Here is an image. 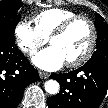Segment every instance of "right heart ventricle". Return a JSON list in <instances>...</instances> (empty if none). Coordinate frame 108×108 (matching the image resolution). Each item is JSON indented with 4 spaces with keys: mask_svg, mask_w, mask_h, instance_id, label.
Masks as SVG:
<instances>
[{
    "mask_svg": "<svg viewBox=\"0 0 108 108\" xmlns=\"http://www.w3.org/2000/svg\"><path fill=\"white\" fill-rule=\"evenodd\" d=\"M77 13L65 8H49L42 10L33 17L35 28L45 38H49L52 32L65 20L76 16Z\"/></svg>",
    "mask_w": 108,
    "mask_h": 108,
    "instance_id": "1",
    "label": "right heart ventricle"
}]
</instances>
